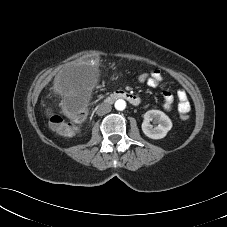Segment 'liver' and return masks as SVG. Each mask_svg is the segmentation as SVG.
I'll use <instances>...</instances> for the list:
<instances>
[{
  "mask_svg": "<svg viewBox=\"0 0 227 227\" xmlns=\"http://www.w3.org/2000/svg\"><path fill=\"white\" fill-rule=\"evenodd\" d=\"M91 70H95V68L85 62L67 64L54 79V92L64 96L73 93L84 76Z\"/></svg>",
  "mask_w": 227,
  "mask_h": 227,
  "instance_id": "obj_1",
  "label": "liver"
}]
</instances>
